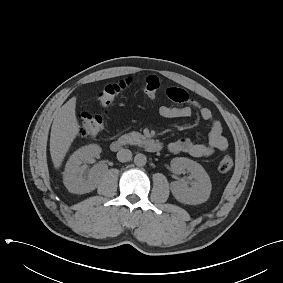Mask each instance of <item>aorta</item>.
Wrapping results in <instances>:
<instances>
[{
	"label": "aorta",
	"mask_w": 283,
	"mask_h": 283,
	"mask_svg": "<svg viewBox=\"0 0 283 283\" xmlns=\"http://www.w3.org/2000/svg\"><path fill=\"white\" fill-rule=\"evenodd\" d=\"M146 162H147V158L144 154L138 153L135 155L134 163L136 166H139V167L144 166Z\"/></svg>",
	"instance_id": "aorta-1"
}]
</instances>
